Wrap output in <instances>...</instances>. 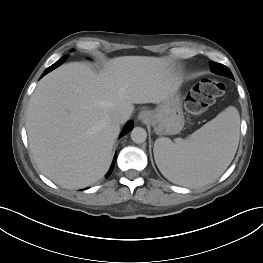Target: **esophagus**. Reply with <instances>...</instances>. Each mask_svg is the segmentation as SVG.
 <instances>
[{
  "label": "esophagus",
  "mask_w": 263,
  "mask_h": 263,
  "mask_svg": "<svg viewBox=\"0 0 263 263\" xmlns=\"http://www.w3.org/2000/svg\"><path fill=\"white\" fill-rule=\"evenodd\" d=\"M148 117H149V114L147 111H141L138 115V119L141 121L147 120Z\"/></svg>",
  "instance_id": "obj_1"
}]
</instances>
